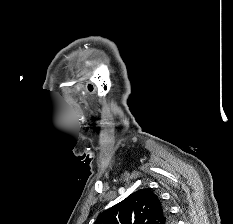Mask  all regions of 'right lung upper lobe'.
<instances>
[{"instance_id":"cb5924a9","label":"right lung upper lobe","mask_w":233,"mask_h":224,"mask_svg":"<svg viewBox=\"0 0 233 224\" xmlns=\"http://www.w3.org/2000/svg\"><path fill=\"white\" fill-rule=\"evenodd\" d=\"M168 210L149 189L130 194L98 216L94 224H171Z\"/></svg>"}]
</instances>
